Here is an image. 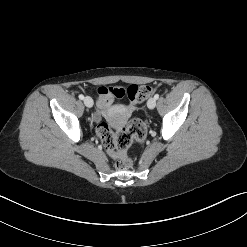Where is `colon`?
Instances as JSON below:
<instances>
[{"instance_id": "5ec220e1", "label": "colon", "mask_w": 247, "mask_h": 247, "mask_svg": "<svg viewBox=\"0 0 247 247\" xmlns=\"http://www.w3.org/2000/svg\"><path fill=\"white\" fill-rule=\"evenodd\" d=\"M109 91L116 96H126L128 105L134 108L137 103L146 100L154 91L148 85H130L127 88L110 87ZM146 126L138 119H132L128 125L120 130H113L108 124L102 123L98 127V134L104 147L116 160V167L127 170L132 165L128 151L134 142H141L146 137Z\"/></svg>"}]
</instances>
